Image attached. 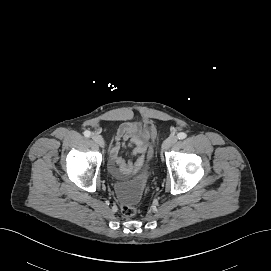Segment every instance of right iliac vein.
Segmentation results:
<instances>
[{"label": "right iliac vein", "instance_id": "63e3f726", "mask_svg": "<svg viewBox=\"0 0 271 271\" xmlns=\"http://www.w3.org/2000/svg\"><path fill=\"white\" fill-rule=\"evenodd\" d=\"M91 138H92V140H93L96 144H98L99 146H101V147L104 146V140H103V138H102L100 135H98V134H93Z\"/></svg>", "mask_w": 271, "mask_h": 271}]
</instances>
